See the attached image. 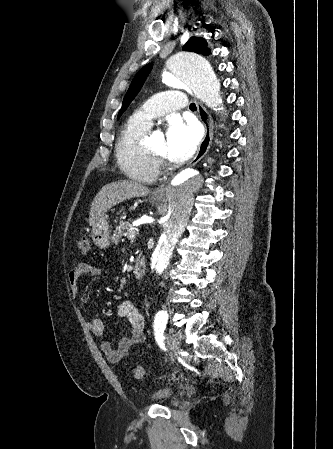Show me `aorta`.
<instances>
[{"instance_id": "obj_1", "label": "aorta", "mask_w": 333, "mask_h": 449, "mask_svg": "<svg viewBox=\"0 0 333 449\" xmlns=\"http://www.w3.org/2000/svg\"><path fill=\"white\" fill-rule=\"evenodd\" d=\"M162 80L168 86L191 91L209 107L217 108L222 104L219 80L208 60L197 53L178 52L168 57ZM210 174V169L203 166L184 170L171 180L167 188L169 218L151 259V267L157 274L169 265L192 213L194 195L203 189Z\"/></svg>"}]
</instances>
